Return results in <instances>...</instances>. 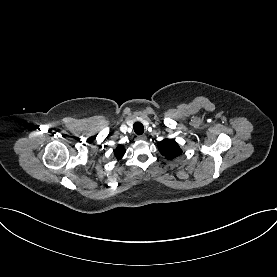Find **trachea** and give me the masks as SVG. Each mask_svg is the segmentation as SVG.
Instances as JSON below:
<instances>
[{
	"instance_id": "3493384b",
	"label": "trachea",
	"mask_w": 277,
	"mask_h": 277,
	"mask_svg": "<svg viewBox=\"0 0 277 277\" xmlns=\"http://www.w3.org/2000/svg\"><path fill=\"white\" fill-rule=\"evenodd\" d=\"M133 129H134V132L137 134V135H141L143 134L144 132V126L142 123L140 122H135L134 125H133Z\"/></svg>"
}]
</instances>
